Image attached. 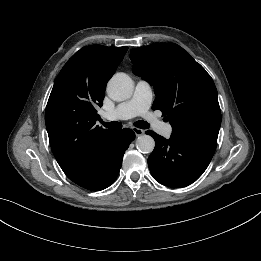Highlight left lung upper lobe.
<instances>
[{
	"instance_id": "obj_1",
	"label": "left lung upper lobe",
	"mask_w": 261,
	"mask_h": 261,
	"mask_svg": "<svg viewBox=\"0 0 261 261\" xmlns=\"http://www.w3.org/2000/svg\"><path fill=\"white\" fill-rule=\"evenodd\" d=\"M133 73L148 81L172 134L186 140L217 144L221 110L210 75L180 46L154 43L131 50Z\"/></svg>"
}]
</instances>
